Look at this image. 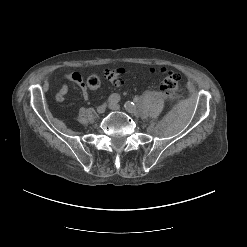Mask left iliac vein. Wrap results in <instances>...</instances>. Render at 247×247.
<instances>
[{"label": "left iliac vein", "instance_id": "4c4485c4", "mask_svg": "<svg viewBox=\"0 0 247 247\" xmlns=\"http://www.w3.org/2000/svg\"><path fill=\"white\" fill-rule=\"evenodd\" d=\"M109 108H110L111 110H114V111H118V110L121 109L120 105H119V104H116V103H111V104L109 105Z\"/></svg>", "mask_w": 247, "mask_h": 247}]
</instances>
